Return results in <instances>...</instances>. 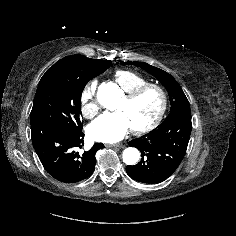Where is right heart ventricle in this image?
<instances>
[{"label":"right heart ventricle","mask_w":236,"mask_h":236,"mask_svg":"<svg viewBox=\"0 0 236 236\" xmlns=\"http://www.w3.org/2000/svg\"><path fill=\"white\" fill-rule=\"evenodd\" d=\"M113 79L124 92L131 91L141 85L149 83L141 74L126 69L114 72Z\"/></svg>","instance_id":"obj_1"}]
</instances>
